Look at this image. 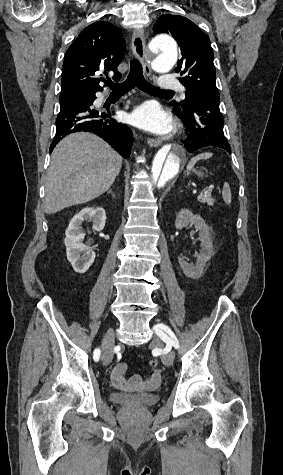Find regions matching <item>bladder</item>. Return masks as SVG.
<instances>
[{
    "instance_id": "bladder-1",
    "label": "bladder",
    "mask_w": 283,
    "mask_h": 475,
    "mask_svg": "<svg viewBox=\"0 0 283 475\" xmlns=\"http://www.w3.org/2000/svg\"><path fill=\"white\" fill-rule=\"evenodd\" d=\"M110 397L119 403L142 408L156 404L159 400L158 394L110 393Z\"/></svg>"
}]
</instances>
